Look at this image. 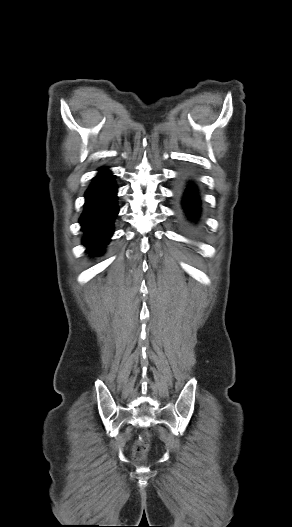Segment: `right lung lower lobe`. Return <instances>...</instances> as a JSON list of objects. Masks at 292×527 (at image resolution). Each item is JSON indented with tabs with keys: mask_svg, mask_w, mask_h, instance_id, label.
Here are the masks:
<instances>
[{
	"mask_svg": "<svg viewBox=\"0 0 292 527\" xmlns=\"http://www.w3.org/2000/svg\"><path fill=\"white\" fill-rule=\"evenodd\" d=\"M93 179L85 193V209L80 218L82 230L86 236L83 240L87 250L95 255L109 241L113 233V221L118 214L116 204L117 187L105 168Z\"/></svg>",
	"mask_w": 292,
	"mask_h": 527,
	"instance_id": "right-lung-lower-lobe-1",
	"label": "right lung lower lobe"
}]
</instances>
